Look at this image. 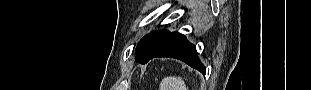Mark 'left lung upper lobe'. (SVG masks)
I'll return each mask as SVG.
<instances>
[{
	"mask_svg": "<svg viewBox=\"0 0 311 90\" xmlns=\"http://www.w3.org/2000/svg\"><path fill=\"white\" fill-rule=\"evenodd\" d=\"M169 34L166 30L154 31L149 35L144 36L137 44L135 52L136 59L142 63L152 53L154 48Z\"/></svg>",
	"mask_w": 311,
	"mask_h": 90,
	"instance_id": "1",
	"label": "left lung upper lobe"
}]
</instances>
